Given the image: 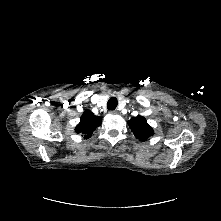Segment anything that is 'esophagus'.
Returning <instances> with one entry per match:
<instances>
[{
	"label": "esophagus",
	"mask_w": 221,
	"mask_h": 221,
	"mask_svg": "<svg viewBox=\"0 0 221 221\" xmlns=\"http://www.w3.org/2000/svg\"><path fill=\"white\" fill-rule=\"evenodd\" d=\"M110 113L111 114H117V111L116 110H111Z\"/></svg>",
	"instance_id": "esophagus-1"
}]
</instances>
